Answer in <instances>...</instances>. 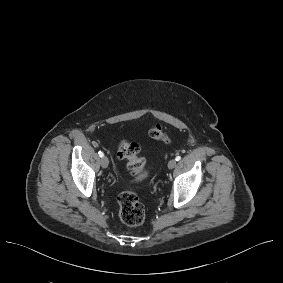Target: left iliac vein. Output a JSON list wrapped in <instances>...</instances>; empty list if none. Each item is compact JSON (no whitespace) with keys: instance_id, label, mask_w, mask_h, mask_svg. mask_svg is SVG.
<instances>
[{"instance_id":"obj_1","label":"left iliac vein","mask_w":283,"mask_h":283,"mask_svg":"<svg viewBox=\"0 0 283 283\" xmlns=\"http://www.w3.org/2000/svg\"><path fill=\"white\" fill-rule=\"evenodd\" d=\"M175 166H176V160H175V159H171V160L168 162V168H169V169H173Z\"/></svg>"}]
</instances>
